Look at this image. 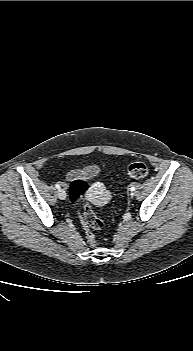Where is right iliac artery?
<instances>
[{"label": "right iliac artery", "mask_w": 193, "mask_h": 351, "mask_svg": "<svg viewBox=\"0 0 193 351\" xmlns=\"http://www.w3.org/2000/svg\"><path fill=\"white\" fill-rule=\"evenodd\" d=\"M55 187H56L57 189H60V185H59V184H55Z\"/></svg>", "instance_id": "obj_1"}]
</instances>
